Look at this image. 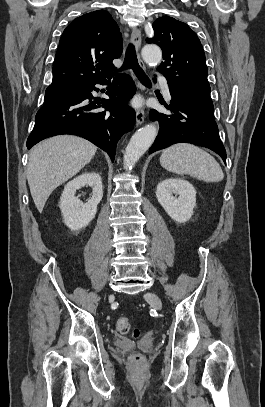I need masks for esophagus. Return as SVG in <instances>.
Wrapping results in <instances>:
<instances>
[{
	"mask_svg": "<svg viewBox=\"0 0 265 407\" xmlns=\"http://www.w3.org/2000/svg\"><path fill=\"white\" fill-rule=\"evenodd\" d=\"M131 40H132V42H133V44H134V46H135V48H136V51H137V53H138V63H139V66L141 67V68H143V69H145V64H144V62H143V60L141 59V57H140V54H139V50H140V47H141V32H140V30L138 29V28H133V31H132V35H131ZM139 89H140V92H143L144 91V88L141 86V85H139ZM144 118H145V111H144V109H138L137 110V112H136V125L137 126H140V125H142L143 124V122H144Z\"/></svg>",
	"mask_w": 265,
	"mask_h": 407,
	"instance_id": "1",
	"label": "esophagus"
}]
</instances>
